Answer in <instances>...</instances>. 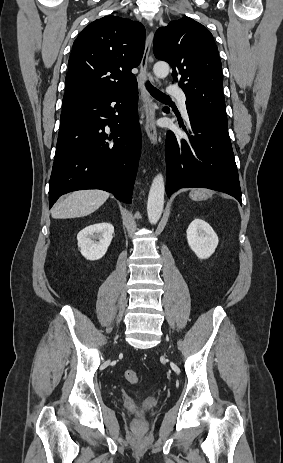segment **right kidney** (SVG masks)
<instances>
[{
	"label": "right kidney",
	"mask_w": 283,
	"mask_h": 463,
	"mask_svg": "<svg viewBox=\"0 0 283 463\" xmlns=\"http://www.w3.org/2000/svg\"><path fill=\"white\" fill-rule=\"evenodd\" d=\"M114 227L112 224L102 222L85 227L77 235L78 247L87 260L101 259L107 252L112 241ZM97 238L99 241H94Z\"/></svg>",
	"instance_id": "1"
}]
</instances>
